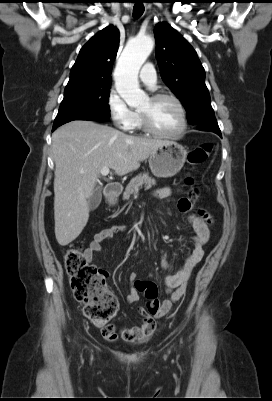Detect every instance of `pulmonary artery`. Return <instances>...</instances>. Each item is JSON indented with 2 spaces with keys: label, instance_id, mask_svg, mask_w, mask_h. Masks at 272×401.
I'll return each mask as SVG.
<instances>
[{
  "label": "pulmonary artery",
  "instance_id": "e3ab8cb5",
  "mask_svg": "<svg viewBox=\"0 0 272 401\" xmlns=\"http://www.w3.org/2000/svg\"><path fill=\"white\" fill-rule=\"evenodd\" d=\"M140 80L150 88H154L156 83V72L152 64L147 63L143 66L140 73Z\"/></svg>",
  "mask_w": 272,
  "mask_h": 401
}]
</instances>
